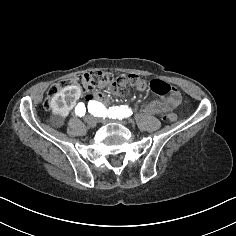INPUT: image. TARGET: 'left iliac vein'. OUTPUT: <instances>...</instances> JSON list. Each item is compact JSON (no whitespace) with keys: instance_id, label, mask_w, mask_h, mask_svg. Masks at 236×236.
Segmentation results:
<instances>
[{"instance_id":"obj_1","label":"left iliac vein","mask_w":236,"mask_h":236,"mask_svg":"<svg viewBox=\"0 0 236 236\" xmlns=\"http://www.w3.org/2000/svg\"><path fill=\"white\" fill-rule=\"evenodd\" d=\"M96 122H98V123H103V124H106V122L107 123H121V124H125V121H122V120H118V119H112V120H108V119H101V120H99V119H96Z\"/></svg>"}]
</instances>
